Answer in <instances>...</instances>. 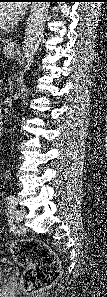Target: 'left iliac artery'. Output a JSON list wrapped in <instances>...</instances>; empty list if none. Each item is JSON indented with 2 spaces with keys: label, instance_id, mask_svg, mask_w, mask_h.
Returning a JSON list of instances; mask_svg holds the SVG:
<instances>
[{
  "label": "left iliac artery",
  "instance_id": "obj_1",
  "mask_svg": "<svg viewBox=\"0 0 107 297\" xmlns=\"http://www.w3.org/2000/svg\"><path fill=\"white\" fill-rule=\"evenodd\" d=\"M6 201H7L10 213L13 212L17 205L16 198L10 195L6 198Z\"/></svg>",
  "mask_w": 107,
  "mask_h": 297
}]
</instances>
